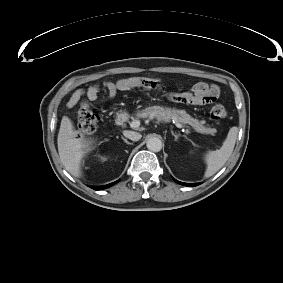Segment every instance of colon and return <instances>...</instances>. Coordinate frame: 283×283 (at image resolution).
<instances>
[{"label":"colon","instance_id":"colon-1","mask_svg":"<svg viewBox=\"0 0 283 283\" xmlns=\"http://www.w3.org/2000/svg\"><path fill=\"white\" fill-rule=\"evenodd\" d=\"M227 112L223 105L215 104L210 110V117L213 120L225 118ZM98 123V116L93 113L87 105H83L78 111V124L74 132L76 139H81L87 134L95 131Z\"/></svg>","mask_w":283,"mask_h":283}]
</instances>
